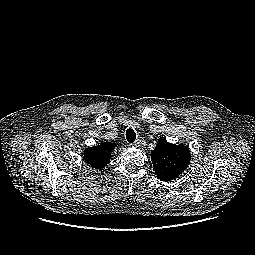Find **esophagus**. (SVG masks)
Returning a JSON list of instances; mask_svg holds the SVG:
<instances>
[{"label":"esophagus","instance_id":"1","mask_svg":"<svg viewBox=\"0 0 255 255\" xmlns=\"http://www.w3.org/2000/svg\"><path fill=\"white\" fill-rule=\"evenodd\" d=\"M130 146H132V147H139L140 146V142L137 140L134 143H131Z\"/></svg>","mask_w":255,"mask_h":255}]
</instances>
